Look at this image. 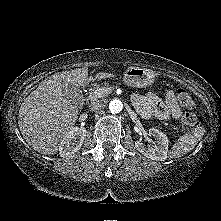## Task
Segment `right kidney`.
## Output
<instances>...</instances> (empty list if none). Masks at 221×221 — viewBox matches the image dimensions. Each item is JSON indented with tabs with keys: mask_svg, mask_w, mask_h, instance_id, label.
<instances>
[{
	"mask_svg": "<svg viewBox=\"0 0 221 221\" xmlns=\"http://www.w3.org/2000/svg\"><path fill=\"white\" fill-rule=\"evenodd\" d=\"M86 136V130L82 127H74L65 134L59 144V154L63 158L71 157L82 146Z\"/></svg>",
	"mask_w": 221,
	"mask_h": 221,
	"instance_id": "obj_1",
	"label": "right kidney"
}]
</instances>
